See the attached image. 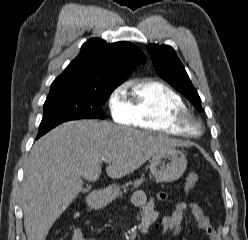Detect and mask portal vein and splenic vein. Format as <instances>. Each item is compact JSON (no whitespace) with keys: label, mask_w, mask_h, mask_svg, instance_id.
Returning a JSON list of instances; mask_svg holds the SVG:
<instances>
[{"label":"portal vein and splenic vein","mask_w":248,"mask_h":240,"mask_svg":"<svg viewBox=\"0 0 248 240\" xmlns=\"http://www.w3.org/2000/svg\"><path fill=\"white\" fill-rule=\"evenodd\" d=\"M106 163H111V160L110 159H106V160H104Z\"/></svg>","instance_id":"18ae733b"}]
</instances>
